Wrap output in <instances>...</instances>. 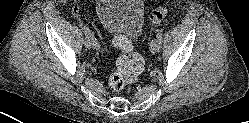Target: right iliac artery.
<instances>
[{
    "label": "right iliac artery",
    "instance_id": "82829eb1",
    "mask_svg": "<svg viewBox=\"0 0 249 123\" xmlns=\"http://www.w3.org/2000/svg\"><path fill=\"white\" fill-rule=\"evenodd\" d=\"M82 30H83V32L85 33V35H86L87 37L90 38L92 45H93L95 48H100V45H99L98 42L96 41V39H95V37L93 36V34H92V32L90 31V29H89L88 27H86V26H83V27H82Z\"/></svg>",
    "mask_w": 249,
    "mask_h": 123
}]
</instances>
